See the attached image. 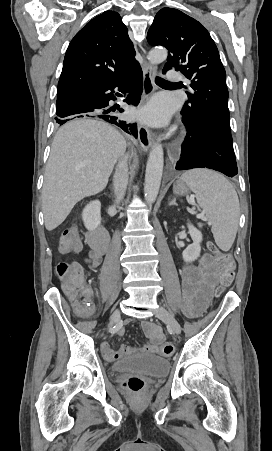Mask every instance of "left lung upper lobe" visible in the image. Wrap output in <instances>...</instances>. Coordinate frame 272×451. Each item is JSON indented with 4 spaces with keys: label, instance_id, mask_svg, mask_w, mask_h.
I'll return each instance as SVG.
<instances>
[{
    "label": "left lung upper lobe",
    "instance_id": "1",
    "mask_svg": "<svg viewBox=\"0 0 272 451\" xmlns=\"http://www.w3.org/2000/svg\"><path fill=\"white\" fill-rule=\"evenodd\" d=\"M147 40L168 49L165 72L175 67L191 80L182 120L214 121L230 131L226 73L208 31L180 10L166 7L156 14Z\"/></svg>",
    "mask_w": 272,
    "mask_h": 451
}]
</instances>
